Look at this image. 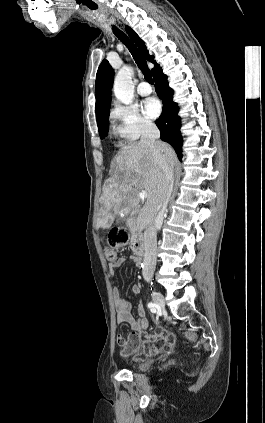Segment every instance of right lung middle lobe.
<instances>
[{"label": "right lung middle lobe", "mask_w": 265, "mask_h": 423, "mask_svg": "<svg viewBox=\"0 0 265 423\" xmlns=\"http://www.w3.org/2000/svg\"><path fill=\"white\" fill-rule=\"evenodd\" d=\"M109 114H107L102 120L101 122L98 124V130H99V134H100V138L104 139L107 134H108V130H109Z\"/></svg>", "instance_id": "dd1d6c3e"}]
</instances>
